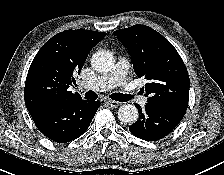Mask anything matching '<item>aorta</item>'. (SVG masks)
I'll list each match as a JSON object with an SVG mask.
<instances>
[{
  "label": "aorta",
  "instance_id": "1",
  "mask_svg": "<svg viewBox=\"0 0 224 175\" xmlns=\"http://www.w3.org/2000/svg\"><path fill=\"white\" fill-rule=\"evenodd\" d=\"M113 55L104 50L97 51L91 58L92 67L99 72H108L114 67ZM138 110L134 105L124 104L118 109V118L123 123H133L138 119Z\"/></svg>",
  "mask_w": 224,
  "mask_h": 175
}]
</instances>
